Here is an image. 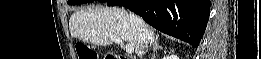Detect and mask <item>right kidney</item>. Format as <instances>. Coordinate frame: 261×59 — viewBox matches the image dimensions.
<instances>
[{"label": "right kidney", "mask_w": 261, "mask_h": 59, "mask_svg": "<svg viewBox=\"0 0 261 59\" xmlns=\"http://www.w3.org/2000/svg\"><path fill=\"white\" fill-rule=\"evenodd\" d=\"M164 59H166V58L164 57ZM167 59H178V57H176V56H170V57H167Z\"/></svg>", "instance_id": "1"}]
</instances>
